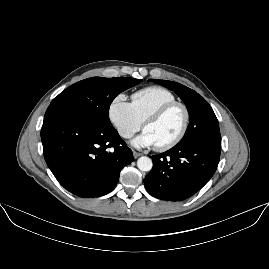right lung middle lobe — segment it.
<instances>
[{"instance_id":"1","label":"right lung middle lobe","mask_w":269,"mask_h":269,"mask_svg":"<svg viewBox=\"0 0 269 269\" xmlns=\"http://www.w3.org/2000/svg\"><path fill=\"white\" fill-rule=\"evenodd\" d=\"M141 79L92 77L79 81L56 96L50 106L83 115L101 125L112 126L109 108L122 91L139 84Z\"/></svg>"}]
</instances>
